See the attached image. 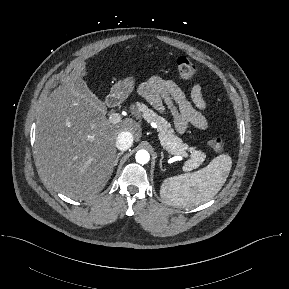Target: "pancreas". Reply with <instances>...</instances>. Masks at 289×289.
Returning a JSON list of instances; mask_svg holds the SVG:
<instances>
[{
	"label": "pancreas",
	"instance_id": "pancreas-1",
	"mask_svg": "<svg viewBox=\"0 0 289 289\" xmlns=\"http://www.w3.org/2000/svg\"><path fill=\"white\" fill-rule=\"evenodd\" d=\"M139 110L148 122L156 123L159 140L164 149L181 152H186V150L190 151V159L184 164L186 171L195 169L202 164L206 155L199 150H195L193 147L189 148L187 144L183 143V141L174 134L170 123H168L165 118L145 106L140 107Z\"/></svg>",
	"mask_w": 289,
	"mask_h": 289
}]
</instances>
